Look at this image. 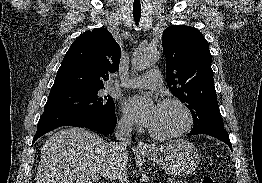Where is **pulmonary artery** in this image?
Here are the masks:
<instances>
[{
    "label": "pulmonary artery",
    "instance_id": "e3ab8cb5",
    "mask_svg": "<svg viewBox=\"0 0 262 183\" xmlns=\"http://www.w3.org/2000/svg\"><path fill=\"white\" fill-rule=\"evenodd\" d=\"M121 86L129 88H152L156 89L161 87L162 78L159 70L153 69L145 74L137 77L130 78L120 84Z\"/></svg>",
    "mask_w": 262,
    "mask_h": 183
}]
</instances>
